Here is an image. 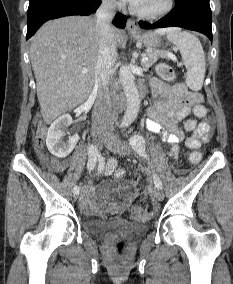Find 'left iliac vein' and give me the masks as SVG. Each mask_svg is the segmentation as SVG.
Segmentation results:
<instances>
[{"label":"left iliac vein","instance_id":"left-iliac-vein-1","mask_svg":"<svg viewBox=\"0 0 233 284\" xmlns=\"http://www.w3.org/2000/svg\"><path fill=\"white\" fill-rule=\"evenodd\" d=\"M105 145L109 150L122 155H127L131 151L130 145L126 141L120 140L116 137L107 138ZM153 196L158 201H162L164 199V193L161 188L156 187L153 190Z\"/></svg>","mask_w":233,"mask_h":284}]
</instances>
